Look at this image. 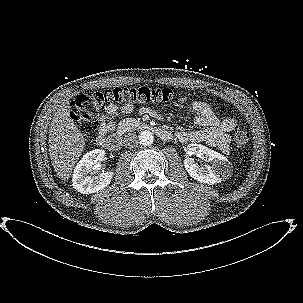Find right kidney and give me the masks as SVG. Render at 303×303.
I'll use <instances>...</instances> for the list:
<instances>
[{
  "label": "right kidney",
  "mask_w": 303,
  "mask_h": 303,
  "mask_svg": "<svg viewBox=\"0 0 303 303\" xmlns=\"http://www.w3.org/2000/svg\"><path fill=\"white\" fill-rule=\"evenodd\" d=\"M104 150L95 149L86 153L78 162L72 176V185L78 192L82 194H91L98 192L107 187L114 172H102L97 177L89 176V173L96 169L99 161L104 157Z\"/></svg>",
  "instance_id": "obj_1"
}]
</instances>
